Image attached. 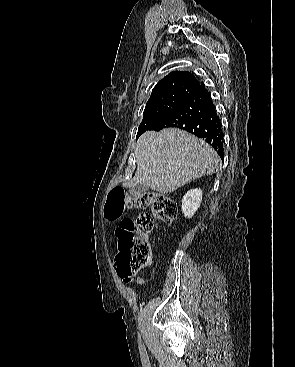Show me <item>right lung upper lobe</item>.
<instances>
[{"instance_id":"cb5924a9","label":"right lung upper lobe","mask_w":295,"mask_h":367,"mask_svg":"<svg viewBox=\"0 0 295 367\" xmlns=\"http://www.w3.org/2000/svg\"><path fill=\"white\" fill-rule=\"evenodd\" d=\"M202 86L199 81L187 71H173L153 88L152 94L172 88H187L197 91Z\"/></svg>"}]
</instances>
